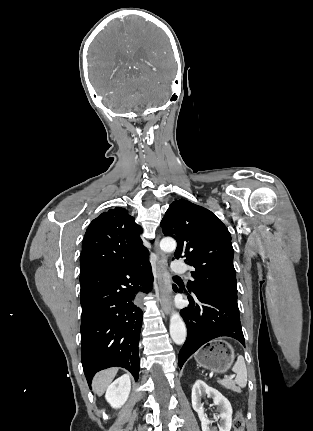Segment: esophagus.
<instances>
[{
    "label": "esophagus",
    "instance_id": "esophagus-1",
    "mask_svg": "<svg viewBox=\"0 0 313 431\" xmlns=\"http://www.w3.org/2000/svg\"><path fill=\"white\" fill-rule=\"evenodd\" d=\"M156 252L158 255V262H157V277H158V286H159V302L161 306V310L166 314H170V305L168 301V294L167 290L164 285V261H163V254L159 249L158 246V239L155 243Z\"/></svg>",
    "mask_w": 313,
    "mask_h": 431
}]
</instances>
